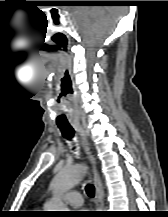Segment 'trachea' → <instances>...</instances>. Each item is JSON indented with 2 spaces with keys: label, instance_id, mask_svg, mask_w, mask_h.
<instances>
[{
  "label": "trachea",
  "instance_id": "1",
  "mask_svg": "<svg viewBox=\"0 0 168 217\" xmlns=\"http://www.w3.org/2000/svg\"><path fill=\"white\" fill-rule=\"evenodd\" d=\"M63 137L68 140H71L74 137V129L72 127H59ZM86 193L89 197L93 198L95 195V188L91 184H87L85 187Z\"/></svg>",
  "mask_w": 168,
  "mask_h": 217
}]
</instances>
